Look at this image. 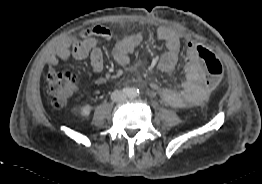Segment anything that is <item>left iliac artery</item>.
<instances>
[{
	"instance_id": "44dca946",
	"label": "left iliac artery",
	"mask_w": 262,
	"mask_h": 184,
	"mask_svg": "<svg viewBox=\"0 0 262 184\" xmlns=\"http://www.w3.org/2000/svg\"><path fill=\"white\" fill-rule=\"evenodd\" d=\"M139 94V89L134 90L133 94L130 96L131 98L136 97Z\"/></svg>"
}]
</instances>
